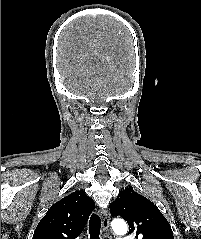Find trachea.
I'll use <instances>...</instances> for the list:
<instances>
[{
    "label": "trachea",
    "mask_w": 201,
    "mask_h": 239,
    "mask_svg": "<svg viewBox=\"0 0 201 239\" xmlns=\"http://www.w3.org/2000/svg\"><path fill=\"white\" fill-rule=\"evenodd\" d=\"M101 219L97 214H92L89 220L90 239H100Z\"/></svg>",
    "instance_id": "1"
}]
</instances>
